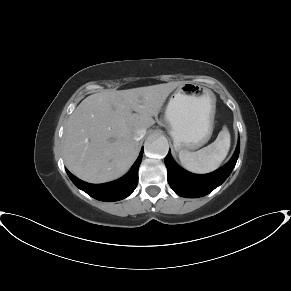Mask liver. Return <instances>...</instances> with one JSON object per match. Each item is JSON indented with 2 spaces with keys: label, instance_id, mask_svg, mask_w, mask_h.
<instances>
[{
  "label": "liver",
  "instance_id": "1",
  "mask_svg": "<svg viewBox=\"0 0 291 291\" xmlns=\"http://www.w3.org/2000/svg\"><path fill=\"white\" fill-rule=\"evenodd\" d=\"M180 84L104 91L86 97L65 127L63 155L70 172L90 183L123 176L139 152L135 130L154 125L153 116Z\"/></svg>",
  "mask_w": 291,
  "mask_h": 291
}]
</instances>
